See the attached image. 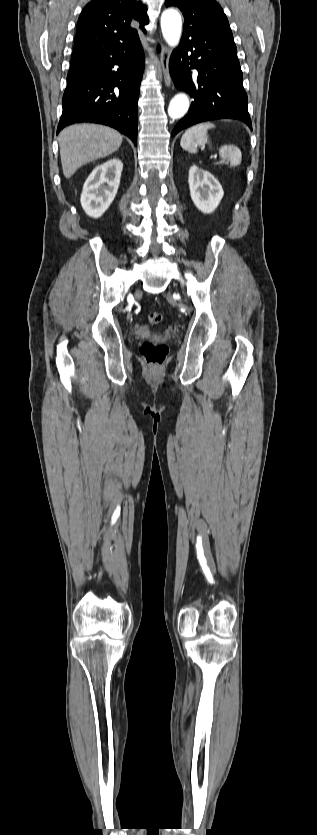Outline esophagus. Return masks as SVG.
Listing matches in <instances>:
<instances>
[{
	"instance_id": "esophagus-1",
	"label": "esophagus",
	"mask_w": 317,
	"mask_h": 835,
	"mask_svg": "<svg viewBox=\"0 0 317 835\" xmlns=\"http://www.w3.org/2000/svg\"><path fill=\"white\" fill-rule=\"evenodd\" d=\"M169 55V49L167 47H164L160 54V61L164 82L167 87H170L172 84V79L169 71Z\"/></svg>"
}]
</instances>
